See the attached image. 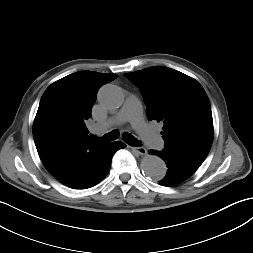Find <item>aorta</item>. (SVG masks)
<instances>
[{
  "instance_id": "obj_1",
  "label": "aorta",
  "mask_w": 253,
  "mask_h": 253,
  "mask_svg": "<svg viewBox=\"0 0 253 253\" xmlns=\"http://www.w3.org/2000/svg\"><path fill=\"white\" fill-rule=\"evenodd\" d=\"M98 102L108 111L116 110L122 106L124 94L118 86L106 84L99 90ZM141 169L146 176L157 181L164 178L167 167L160 157L147 155L141 161Z\"/></svg>"
}]
</instances>
